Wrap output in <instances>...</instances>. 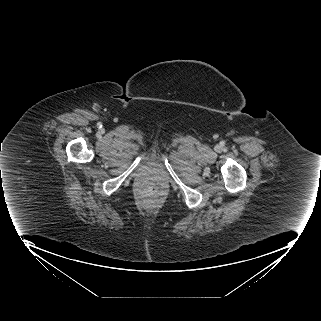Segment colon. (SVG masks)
Here are the masks:
<instances>
[{
    "label": "colon",
    "instance_id": "1",
    "mask_svg": "<svg viewBox=\"0 0 321 321\" xmlns=\"http://www.w3.org/2000/svg\"><path fill=\"white\" fill-rule=\"evenodd\" d=\"M148 193H149L150 195H154V194L156 193V187H155L154 185H150V186L148 187Z\"/></svg>",
    "mask_w": 321,
    "mask_h": 321
}]
</instances>
